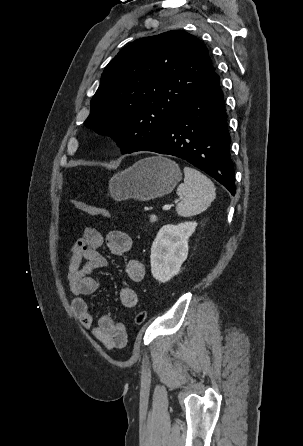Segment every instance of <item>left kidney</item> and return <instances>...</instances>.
<instances>
[{
  "label": "left kidney",
  "instance_id": "5707ae66",
  "mask_svg": "<svg viewBox=\"0 0 303 446\" xmlns=\"http://www.w3.org/2000/svg\"><path fill=\"white\" fill-rule=\"evenodd\" d=\"M196 222L163 226L151 247V273L161 283L176 276L188 256V239Z\"/></svg>",
  "mask_w": 303,
  "mask_h": 446
}]
</instances>
